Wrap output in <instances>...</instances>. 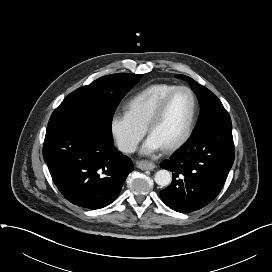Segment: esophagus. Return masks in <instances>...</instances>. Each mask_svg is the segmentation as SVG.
Segmentation results:
<instances>
[{
    "label": "esophagus",
    "mask_w": 272,
    "mask_h": 272,
    "mask_svg": "<svg viewBox=\"0 0 272 272\" xmlns=\"http://www.w3.org/2000/svg\"><path fill=\"white\" fill-rule=\"evenodd\" d=\"M136 165L141 170H153L155 168V164L148 160L137 161Z\"/></svg>",
    "instance_id": "34e87169"
}]
</instances>
